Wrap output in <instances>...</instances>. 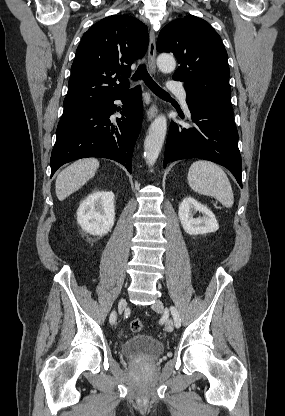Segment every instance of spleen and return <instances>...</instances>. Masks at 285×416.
<instances>
[{
  "instance_id": "1",
  "label": "spleen",
  "mask_w": 285,
  "mask_h": 416,
  "mask_svg": "<svg viewBox=\"0 0 285 416\" xmlns=\"http://www.w3.org/2000/svg\"><path fill=\"white\" fill-rule=\"evenodd\" d=\"M188 184L191 190L203 196H212L225 208H232L234 196L231 184L223 170L212 162H194L189 168Z\"/></svg>"
}]
</instances>
